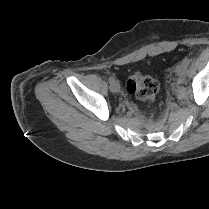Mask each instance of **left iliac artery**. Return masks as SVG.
<instances>
[{
    "mask_svg": "<svg viewBox=\"0 0 209 209\" xmlns=\"http://www.w3.org/2000/svg\"><path fill=\"white\" fill-rule=\"evenodd\" d=\"M189 62H190L189 58L185 57V58L183 59V64H184L186 67H188Z\"/></svg>",
    "mask_w": 209,
    "mask_h": 209,
    "instance_id": "left-iliac-artery-1",
    "label": "left iliac artery"
}]
</instances>
